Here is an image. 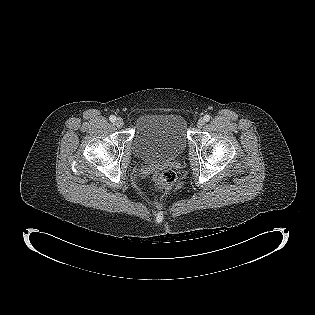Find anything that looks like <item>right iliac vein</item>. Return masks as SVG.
Returning a JSON list of instances; mask_svg holds the SVG:
<instances>
[{
    "instance_id": "right-iliac-vein-1",
    "label": "right iliac vein",
    "mask_w": 315,
    "mask_h": 315,
    "mask_svg": "<svg viewBox=\"0 0 315 315\" xmlns=\"http://www.w3.org/2000/svg\"><path fill=\"white\" fill-rule=\"evenodd\" d=\"M123 125H124L123 119L120 118V117L117 118L116 121H115V126H116L117 128H121Z\"/></svg>"
}]
</instances>
